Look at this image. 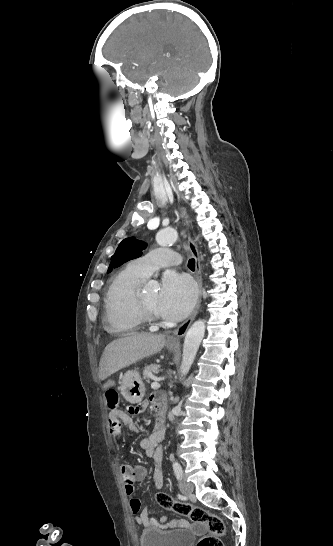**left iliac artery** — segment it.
<instances>
[{
  "label": "left iliac artery",
  "instance_id": "obj_1",
  "mask_svg": "<svg viewBox=\"0 0 333 546\" xmlns=\"http://www.w3.org/2000/svg\"><path fill=\"white\" fill-rule=\"evenodd\" d=\"M173 469H174V473H175L176 478L178 480H181L182 476H183V470H182L181 465L177 461L173 462Z\"/></svg>",
  "mask_w": 333,
  "mask_h": 546
}]
</instances>
